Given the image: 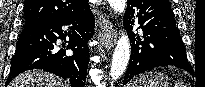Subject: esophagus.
<instances>
[{
	"instance_id": "34e87169",
	"label": "esophagus",
	"mask_w": 205,
	"mask_h": 87,
	"mask_svg": "<svg viewBox=\"0 0 205 87\" xmlns=\"http://www.w3.org/2000/svg\"><path fill=\"white\" fill-rule=\"evenodd\" d=\"M103 24V30L100 32L102 36V44L106 50H109L116 43L117 30L114 28L112 22L109 20L106 14L103 16Z\"/></svg>"
}]
</instances>
